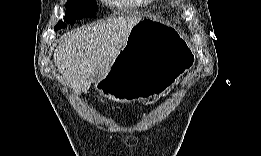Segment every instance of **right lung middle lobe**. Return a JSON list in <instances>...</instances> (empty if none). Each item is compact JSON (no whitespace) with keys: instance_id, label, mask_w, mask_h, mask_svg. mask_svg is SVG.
<instances>
[{"instance_id":"1","label":"right lung middle lobe","mask_w":261,"mask_h":156,"mask_svg":"<svg viewBox=\"0 0 261 156\" xmlns=\"http://www.w3.org/2000/svg\"><path fill=\"white\" fill-rule=\"evenodd\" d=\"M97 4L93 0H68L66 3V15L64 20H60L54 30L66 28V23H74L83 18L95 16Z\"/></svg>"}]
</instances>
